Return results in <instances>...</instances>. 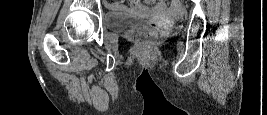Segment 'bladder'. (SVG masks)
Instances as JSON below:
<instances>
[{"mask_svg": "<svg viewBox=\"0 0 267 115\" xmlns=\"http://www.w3.org/2000/svg\"><path fill=\"white\" fill-rule=\"evenodd\" d=\"M144 16L123 13H108L105 16L106 27L111 30H128L137 28L145 21Z\"/></svg>", "mask_w": 267, "mask_h": 115, "instance_id": "obj_1", "label": "bladder"}]
</instances>
